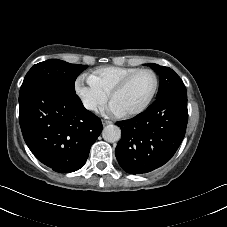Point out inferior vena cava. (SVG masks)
<instances>
[{"label":"inferior vena cava","instance_id":"602c4592","mask_svg":"<svg viewBox=\"0 0 227 227\" xmlns=\"http://www.w3.org/2000/svg\"><path fill=\"white\" fill-rule=\"evenodd\" d=\"M85 107H86V109H88V110L94 109V105L91 104V103H85Z\"/></svg>","mask_w":227,"mask_h":227}]
</instances>
